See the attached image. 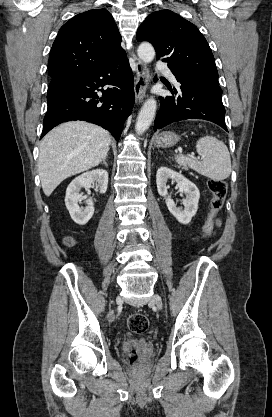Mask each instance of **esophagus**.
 <instances>
[{"mask_svg":"<svg viewBox=\"0 0 272 417\" xmlns=\"http://www.w3.org/2000/svg\"><path fill=\"white\" fill-rule=\"evenodd\" d=\"M134 59L136 66V78L134 82L135 101L136 103H141L146 96L150 75L145 64H143L136 56H134Z\"/></svg>","mask_w":272,"mask_h":417,"instance_id":"obj_1","label":"esophagus"}]
</instances>
